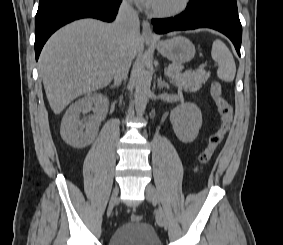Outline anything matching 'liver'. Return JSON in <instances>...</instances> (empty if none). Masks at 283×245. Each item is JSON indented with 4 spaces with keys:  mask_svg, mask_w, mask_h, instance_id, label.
I'll use <instances>...</instances> for the list:
<instances>
[{
    "mask_svg": "<svg viewBox=\"0 0 283 245\" xmlns=\"http://www.w3.org/2000/svg\"><path fill=\"white\" fill-rule=\"evenodd\" d=\"M140 44L138 30L129 48L132 59ZM120 50L114 25L95 19L75 21L53 34L39 58V73L53 112L60 114L77 97L107 86Z\"/></svg>",
    "mask_w": 283,
    "mask_h": 245,
    "instance_id": "6515ba94",
    "label": "liver"
}]
</instances>
